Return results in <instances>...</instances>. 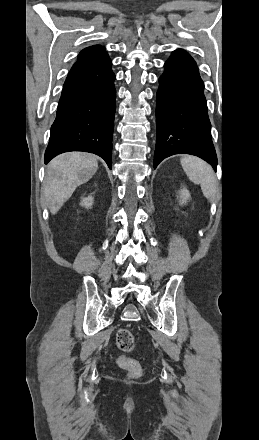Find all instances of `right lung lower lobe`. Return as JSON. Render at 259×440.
<instances>
[{"label": "right lung lower lobe", "instance_id": "1", "mask_svg": "<svg viewBox=\"0 0 259 440\" xmlns=\"http://www.w3.org/2000/svg\"><path fill=\"white\" fill-rule=\"evenodd\" d=\"M111 65L108 54L73 65L51 126L45 164L64 152L85 151L102 157L111 169L116 109Z\"/></svg>", "mask_w": 259, "mask_h": 440}]
</instances>
